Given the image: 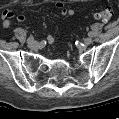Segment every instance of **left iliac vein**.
<instances>
[{
  "mask_svg": "<svg viewBox=\"0 0 119 119\" xmlns=\"http://www.w3.org/2000/svg\"><path fill=\"white\" fill-rule=\"evenodd\" d=\"M83 42H84V44L89 45V44H91L93 42V40H92V38L87 37V38L84 39Z\"/></svg>",
  "mask_w": 119,
  "mask_h": 119,
  "instance_id": "left-iliac-vein-1",
  "label": "left iliac vein"
}]
</instances>
